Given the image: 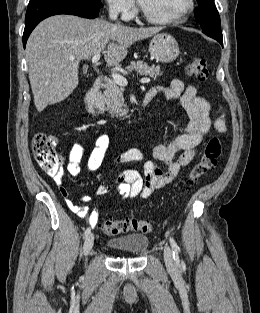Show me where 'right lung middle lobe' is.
<instances>
[{"label": "right lung middle lobe", "mask_w": 260, "mask_h": 313, "mask_svg": "<svg viewBox=\"0 0 260 313\" xmlns=\"http://www.w3.org/2000/svg\"><path fill=\"white\" fill-rule=\"evenodd\" d=\"M77 1H82V2L90 3V4L101 6V7L103 6L100 0H77Z\"/></svg>", "instance_id": "obj_1"}]
</instances>
